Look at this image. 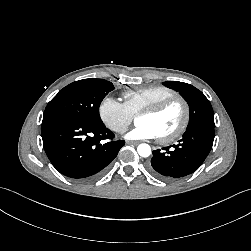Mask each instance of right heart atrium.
I'll list each match as a JSON object with an SVG mask.
<instances>
[{
  "instance_id": "right-heart-atrium-1",
  "label": "right heart atrium",
  "mask_w": 251,
  "mask_h": 251,
  "mask_svg": "<svg viewBox=\"0 0 251 251\" xmlns=\"http://www.w3.org/2000/svg\"><path fill=\"white\" fill-rule=\"evenodd\" d=\"M98 114L104 125L115 133L125 132L134 117L124 103L111 96L100 102Z\"/></svg>"
}]
</instances>
